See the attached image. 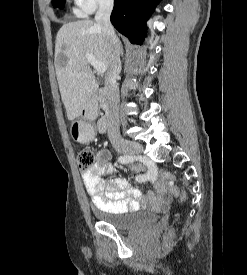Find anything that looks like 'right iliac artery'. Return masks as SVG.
<instances>
[{"instance_id":"right-iliac-artery-1","label":"right iliac artery","mask_w":247,"mask_h":275,"mask_svg":"<svg viewBox=\"0 0 247 275\" xmlns=\"http://www.w3.org/2000/svg\"><path fill=\"white\" fill-rule=\"evenodd\" d=\"M137 160V157L134 155H123L118 158V161L122 164H127ZM139 162L146 164L147 172L145 175H139L136 177L138 182H144L146 180H156L157 174H159V169L157 164H151L152 160L148 157H145L143 154L139 157Z\"/></svg>"}]
</instances>
